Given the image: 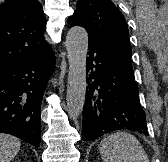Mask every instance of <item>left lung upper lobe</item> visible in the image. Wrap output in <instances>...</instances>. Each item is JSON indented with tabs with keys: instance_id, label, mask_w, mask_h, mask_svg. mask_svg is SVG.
<instances>
[{
	"instance_id": "5c2ea615",
	"label": "left lung upper lobe",
	"mask_w": 168,
	"mask_h": 162,
	"mask_svg": "<svg viewBox=\"0 0 168 162\" xmlns=\"http://www.w3.org/2000/svg\"><path fill=\"white\" fill-rule=\"evenodd\" d=\"M71 26L87 30L89 39L120 53L131 61V45L126 21L110 0H79L74 14L68 18Z\"/></svg>"
}]
</instances>
